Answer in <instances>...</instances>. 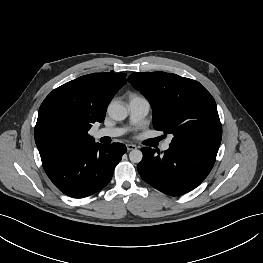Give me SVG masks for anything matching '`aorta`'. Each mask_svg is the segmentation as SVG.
<instances>
[{"label":"aorta","mask_w":263,"mask_h":263,"mask_svg":"<svg viewBox=\"0 0 263 263\" xmlns=\"http://www.w3.org/2000/svg\"><path fill=\"white\" fill-rule=\"evenodd\" d=\"M107 112L109 116L116 121H122L128 116L127 108L118 101L111 102L108 106ZM142 157V152L137 149H134L129 153V159L133 163H139L142 160Z\"/></svg>","instance_id":"1"}]
</instances>
